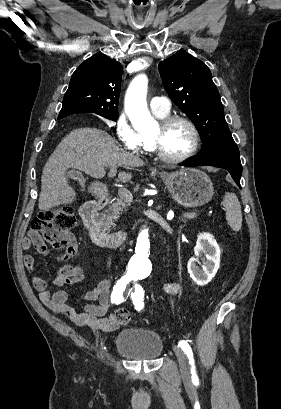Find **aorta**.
I'll list each match as a JSON object with an SVG mask.
<instances>
[{
  "instance_id": "obj_1",
  "label": "aorta",
  "mask_w": 281,
  "mask_h": 409,
  "mask_svg": "<svg viewBox=\"0 0 281 409\" xmlns=\"http://www.w3.org/2000/svg\"><path fill=\"white\" fill-rule=\"evenodd\" d=\"M147 79L139 76L131 86L125 103V109L133 127L141 132L151 131L156 123L147 108Z\"/></svg>"
}]
</instances>
